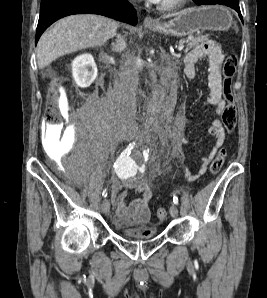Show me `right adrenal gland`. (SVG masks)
I'll list each match as a JSON object with an SVG mask.
<instances>
[{
    "mask_svg": "<svg viewBox=\"0 0 267 298\" xmlns=\"http://www.w3.org/2000/svg\"><path fill=\"white\" fill-rule=\"evenodd\" d=\"M124 48H125V40L123 36H121L120 34H117L116 43L112 42V50L118 52Z\"/></svg>",
    "mask_w": 267,
    "mask_h": 298,
    "instance_id": "2a0ac1e0",
    "label": "right adrenal gland"
}]
</instances>
